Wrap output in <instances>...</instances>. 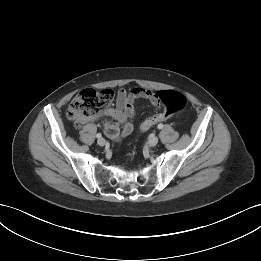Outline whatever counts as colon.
<instances>
[{"mask_svg": "<svg viewBox=\"0 0 261 261\" xmlns=\"http://www.w3.org/2000/svg\"><path fill=\"white\" fill-rule=\"evenodd\" d=\"M113 91L109 89L82 90L71 102L67 109V117L77 127H81L87 121L98 115L104 110L113 99ZM160 101L164 103V110L146 119L142 128L147 129L157 122L167 120L174 112L182 110L186 106V98L183 94L175 91H163L158 93ZM103 129L106 136L112 138L114 143L122 141L121 130L116 122H105Z\"/></svg>", "mask_w": 261, "mask_h": 261, "instance_id": "5ec220e1", "label": "colon"}]
</instances>
